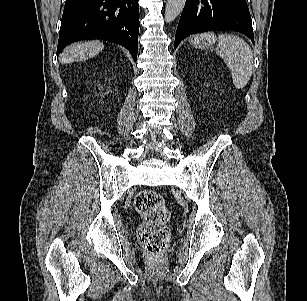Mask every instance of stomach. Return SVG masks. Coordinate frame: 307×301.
<instances>
[{
  "label": "stomach",
  "instance_id": "stomach-1",
  "mask_svg": "<svg viewBox=\"0 0 307 301\" xmlns=\"http://www.w3.org/2000/svg\"><path fill=\"white\" fill-rule=\"evenodd\" d=\"M216 41L215 36L212 33H203L200 35L193 36L190 38V43L196 47L201 49H207Z\"/></svg>",
  "mask_w": 307,
  "mask_h": 301
}]
</instances>
